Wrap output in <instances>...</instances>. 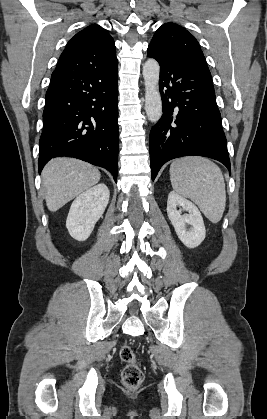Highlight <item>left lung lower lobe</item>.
<instances>
[{
	"mask_svg": "<svg viewBox=\"0 0 267 419\" xmlns=\"http://www.w3.org/2000/svg\"><path fill=\"white\" fill-rule=\"evenodd\" d=\"M160 65L163 115L150 132L152 180L167 161L189 155L213 158L230 171L227 141L222 129L210 71L170 60L148 49Z\"/></svg>",
	"mask_w": 267,
	"mask_h": 419,
	"instance_id": "obj_1",
	"label": "left lung lower lobe"
}]
</instances>
